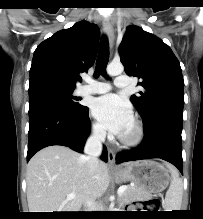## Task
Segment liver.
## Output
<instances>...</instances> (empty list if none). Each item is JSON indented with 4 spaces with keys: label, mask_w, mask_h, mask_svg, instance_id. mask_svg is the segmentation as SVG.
I'll return each instance as SVG.
<instances>
[{
    "label": "liver",
    "mask_w": 203,
    "mask_h": 219,
    "mask_svg": "<svg viewBox=\"0 0 203 219\" xmlns=\"http://www.w3.org/2000/svg\"><path fill=\"white\" fill-rule=\"evenodd\" d=\"M26 181L30 212H79L83 204L104 194L110 176L106 163L99 161L92 175L84 155L52 145L31 158ZM72 193L76 197L68 200L67 195Z\"/></svg>",
    "instance_id": "liver-1"
}]
</instances>
